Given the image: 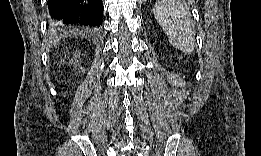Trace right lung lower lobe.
<instances>
[{
  "instance_id": "obj_1",
  "label": "right lung lower lobe",
  "mask_w": 261,
  "mask_h": 156,
  "mask_svg": "<svg viewBox=\"0 0 261 156\" xmlns=\"http://www.w3.org/2000/svg\"><path fill=\"white\" fill-rule=\"evenodd\" d=\"M50 24L55 28L99 27L102 0H48Z\"/></svg>"
}]
</instances>
